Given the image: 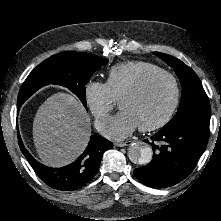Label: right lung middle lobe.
<instances>
[{
  "label": "right lung middle lobe",
  "mask_w": 221,
  "mask_h": 221,
  "mask_svg": "<svg viewBox=\"0 0 221 221\" xmlns=\"http://www.w3.org/2000/svg\"><path fill=\"white\" fill-rule=\"evenodd\" d=\"M108 60L84 52H62L51 56L38 65L22 84L17 107H20L34 92L45 85H61L76 94L85 108V84L92 74Z\"/></svg>",
  "instance_id": "right-lung-middle-lobe-1"
}]
</instances>
